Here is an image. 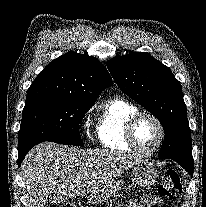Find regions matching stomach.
Returning a JSON list of instances; mask_svg holds the SVG:
<instances>
[{"label": "stomach", "instance_id": "stomach-1", "mask_svg": "<svg viewBox=\"0 0 206 207\" xmlns=\"http://www.w3.org/2000/svg\"><path fill=\"white\" fill-rule=\"evenodd\" d=\"M132 182L138 187H149L156 182L158 173L153 162L145 159L137 160L130 172ZM123 187V182L113 180L106 189V196L109 198Z\"/></svg>", "mask_w": 206, "mask_h": 207}]
</instances>
